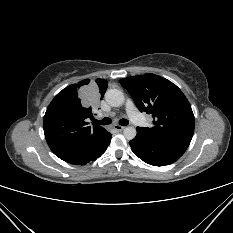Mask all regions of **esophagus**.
I'll list each match as a JSON object with an SVG mask.
<instances>
[{
    "mask_svg": "<svg viewBox=\"0 0 233 233\" xmlns=\"http://www.w3.org/2000/svg\"><path fill=\"white\" fill-rule=\"evenodd\" d=\"M116 131H122L125 127L121 125H114L113 127Z\"/></svg>",
    "mask_w": 233,
    "mask_h": 233,
    "instance_id": "obj_1",
    "label": "esophagus"
}]
</instances>
